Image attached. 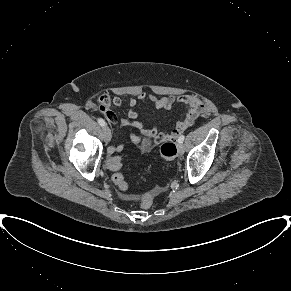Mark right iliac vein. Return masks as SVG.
I'll return each instance as SVG.
<instances>
[{
	"label": "right iliac vein",
	"instance_id": "63e3f726",
	"mask_svg": "<svg viewBox=\"0 0 291 291\" xmlns=\"http://www.w3.org/2000/svg\"><path fill=\"white\" fill-rule=\"evenodd\" d=\"M104 140L108 142L111 138V130L108 126L103 127Z\"/></svg>",
	"mask_w": 291,
	"mask_h": 291
}]
</instances>
